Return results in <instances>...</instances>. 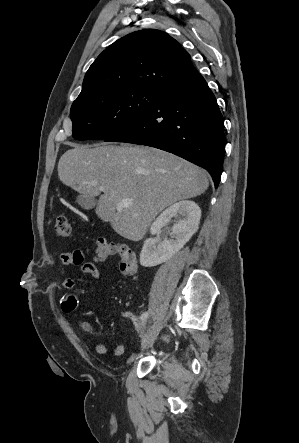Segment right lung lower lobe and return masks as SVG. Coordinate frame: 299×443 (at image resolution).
<instances>
[{
  "mask_svg": "<svg viewBox=\"0 0 299 443\" xmlns=\"http://www.w3.org/2000/svg\"><path fill=\"white\" fill-rule=\"evenodd\" d=\"M104 141L147 145L176 154L207 169L218 187L225 151L223 117L198 72L162 90L143 116Z\"/></svg>",
  "mask_w": 299,
  "mask_h": 443,
  "instance_id": "1",
  "label": "right lung lower lobe"
}]
</instances>
